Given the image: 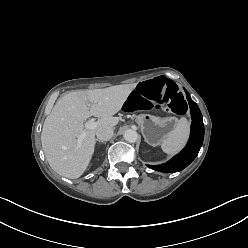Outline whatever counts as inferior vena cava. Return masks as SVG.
Listing matches in <instances>:
<instances>
[{
  "mask_svg": "<svg viewBox=\"0 0 248 248\" xmlns=\"http://www.w3.org/2000/svg\"><path fill=\"white\" fill-rule=\"evenodd\" d=\"M113 128L110 126H103L96 131L97 139L100 141H108L113 136Z\"/></svg>",
  "mask_w": 248,
  "mask_h": 248,
  "instance_id": "1",
  "label": "inferior vena cava"
}]
</instances>
